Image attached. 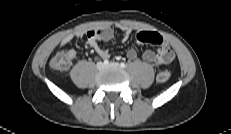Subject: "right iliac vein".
Returning a JSON list of instances; mask_svg holds the SVG:
<instances>
[{"label":"right iliac vein","mask_w":231,"mask_h":134,"mask_svg":"<svg viewBox=\"0 0 231 134\" xmlns=\"http://www.w3.org/2000/svg\"><path fill=\"white\" fill-rule=\"evenodd\" d=\"M96 67H97L98 70H102V69H104L105 66H104V64L102 62H98Z\"/></svg>","instance_id":"obj_1"}]
</instances>
